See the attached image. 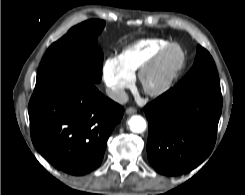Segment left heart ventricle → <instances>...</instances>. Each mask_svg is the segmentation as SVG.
Wrapping results in <instances>:
<instances>
[{
  "instance_id": "1",
  "label": "left heart ventricle",
  "mask_w": 245,
  "mask_h": 195,
  "mask_svg": "<svg viewBox=\"0 0 245 195\" xmlns=\"http://www.w3.org/2000/svg\"><path fill=\"white\" fill-rule=\"evenodd\" d=\"M170 61H167L158 71H156L154 74H152L148 79H147V84L149 86L156 85L160 79L162 78L164 72L166 71L167 67L169 66Z\"/></svg>"
}]
</instances>
